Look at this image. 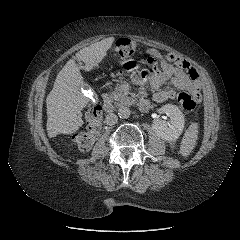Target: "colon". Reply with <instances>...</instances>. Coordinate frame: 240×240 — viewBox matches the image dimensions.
I'll return each instance as SVG.
<instances>
[{"label": "colon", "mask_w": 240, "mask_h": 240, "mask_svg": "<svg viewBox=\"0 0 240 240\" xmlns=\"http://www.w3.org/2000/svg\"><path fill=\"white\" fill-rule=\"evenodd\" d=\"M115 52L123 57L131 56L138 49L136 41L129 38H120L115 44ZM176 100L181 107L191 112L196 107L195 98L187 92H179L176 94ZM88 120V129L86 131H79L73 135V141L81 151L89 150L94 144L96 137L101 129L102 109L98 105L91 106L86 112Z\"/></svg>", "instance_id": "colon-1"}]
</instances>
